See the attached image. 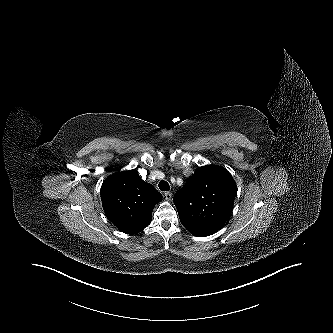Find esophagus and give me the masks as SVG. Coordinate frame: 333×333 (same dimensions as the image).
<instances>
[{
	"label": "esophagus",
	"mask_w": 333,
	"mask_h": 333,
	"mask_svg": "<svg viewBox=\"0 0 333 333\" xmlns=\"http://www.w3.org/2000/svg\"><path fill=\"white\" fill-rule=\"evenodd\" d=\"M165 198H166V200H171V198H172V193L171 192H165Z\"/></svg>",
	"instance_id": "34e87169"
}]
</instances>
